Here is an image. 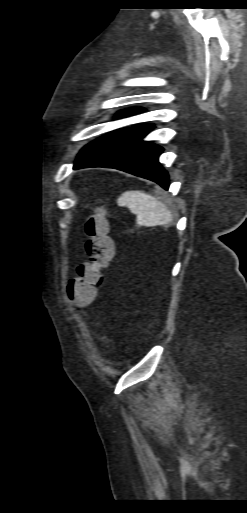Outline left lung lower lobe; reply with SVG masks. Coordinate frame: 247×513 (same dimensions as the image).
I'll return each instance as SVG.
<instances>
[{"label":"left lung lower lobe","mask_w":247,"mask_h":513,"mask_svg":"<svg viewBox=\"0 0 247 513\" xmlns=\"http://www.w3.org/2000/svg\"><path fill=\"white\" fill-rule=\"evenodd\" d=\"M137 109L120 112L125 116L138 112ZM151 124L137 125L115 130L86 145L78 155L74 169L85 167H107L152 180L169 188L168 173L158 162L163 149L143 140L152 130Z\"/></svg>","instance_id":"obj_1"}]
</instances>
